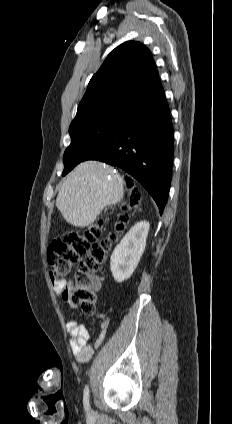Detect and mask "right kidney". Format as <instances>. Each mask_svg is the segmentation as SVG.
Returning a JSON list of instances; mask_svg holds the SVG:
<instances>
[{
  "label": "right kidney",
  "instance_id": "right-kidney-1",
  "mask_svg": "<svg viewBox=\"0 0 232 424\" xmlns=\"http://www.w3.org/2000/svg\"><path fill=\"white\" fill-rule=\"evenodd\" d=\"M149 226L147 221L138 222L114 249L110 268L116 282L127 280L137 267L146 246Z\"/></svg>",
  "mask_w": 232,
  "mask_h": 424
}]
</instances>
